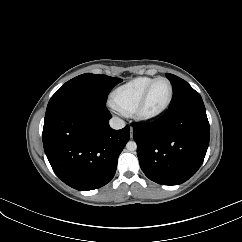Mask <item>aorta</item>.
Segmentation results:
<instances>
[{
  "label": "aorta",
  "instance_id": "762f6f07",
  "mask_svg": "<svg viewBox=\"0 0 242 242\" xmlns=\"http://www.w3.org/2000/svg\"><path fill=\"white\" fill-rule=\"evenodd\" d=\"M126 148L128 151H135L137 149V144L135 141H129L127 144H126Z\"/></svg>",
  "mask_w": 242,
  "mask_h": 242
}]
</instances>
